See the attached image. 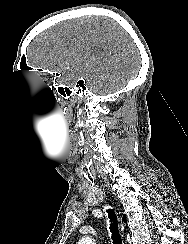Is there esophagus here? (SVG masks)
Listing matches in <instances>:
<instances>
[{
	"label": "esophagus",
	"instance_id": "1",
	"mask_svg": "<svg viewBox=\"0 0 188 244\" xmlns=\"http://www.w3.org/2000/svg\"><path fill=\"white\" fill-rule=\"evenodd\" d=\"M124 229H125L124 225L120 224V230H121L122 233H124Z\"/></svg>",
	"mask_w": 188,
	"mask_h": 244
}]
</instances>
